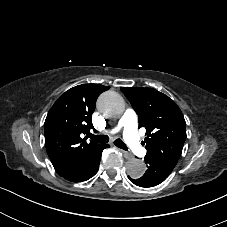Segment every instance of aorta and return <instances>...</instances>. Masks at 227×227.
Masks as SVG:
<instances>
[{"instance_id": "obj_1", "label": "aorta", "mask_w": 227, "mask_h": 227, "mask_svg": "<svg viewBox=\"0 0 227 227\" xmlns=\"http://www.w3.org/2000/svg\"><path fill=\"white\" fill-rule=\"evenodd\" d=\"M97 108L105 117H116L124 112L125 103L118 93L107 91L98 98ZM126 169L130 177L140 178L145 174L146 166L142 160L132 158L127 162Z\"/></svg>"}]
</instances>
